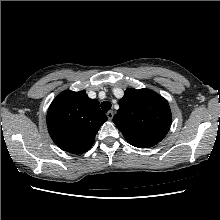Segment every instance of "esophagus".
I'll list each match as a JSON object with an SVG mask.
<instances>
[{
  "label": "esophagus",
  "instance_id": "34e87169",
  "mask_svg": "<svg viewBox=\"0 0 220 220\" xmlns=\"http://www.w3.org/2000/svg\"><path fill=\"white\" fill-rule=\"evenodd\" d=\"M113 116H114V112H113V111H109V112L107 113V118H108L109 120H112Z\"/></svg>",
  "mask_w": 220,
  "mask_h": 220
}]
</instances>
